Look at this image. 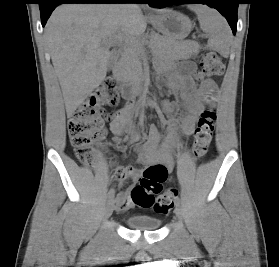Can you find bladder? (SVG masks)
Here are the masks:
<instances>
[{
	"label": "bladder",
	"instance_id": "31cf9c89",
	"mask_svg": "<svg viewBox=\"0 0 279 267\" xmlns=\"http://www.w3.org/2000/svg\"><path fill=\"white\" fill-rule=\"evenodd\" d=\"M126 225L132 230L154 231L160 228L162 221L148 215H132L126 220Z\"/></svg>",
	"mask_w": 279,
	"mask_h": 267
}]
</instances>
